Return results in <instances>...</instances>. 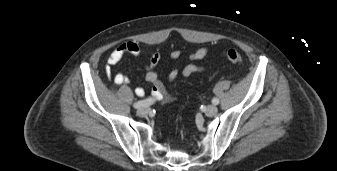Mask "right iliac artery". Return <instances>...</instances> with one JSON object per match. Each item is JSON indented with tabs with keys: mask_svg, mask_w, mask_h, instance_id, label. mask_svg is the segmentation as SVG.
Segmentation results:
<instances>
[{
	"mask_svg": "<svg viewBox=\"0 0 337 171\" xmlns=\"http://www.w3.org/2000/svg\"><path fill=\"white\" fill-rule=\"evenodd\" d=\"M153 103H154V99L149 98V99L141 100V101H138V102L134 103L133 107L135 109H140L142 107H146V106L151 105Z\"/></svg>",
	"mask_w": 337,
	"mask_h": 171,
	"instance_id": "1",
	"label": "right iliac artery"
}]
</instances>
